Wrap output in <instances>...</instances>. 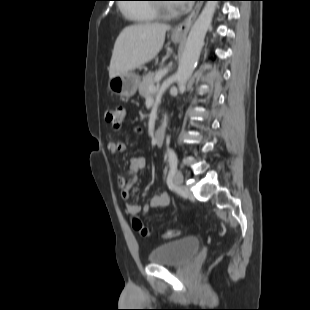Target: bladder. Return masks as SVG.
Here are the masks:
<instances>
[{
	"label": "bladder",
	"instance_id": "31cf9c89",
	"mask_svg": "<svg viewBox=\"0 0 310 310\" xmlns=\"http://www.w3.org/2000/svg\"><path fill=\"white\" fill-rule=\"evenodd\" d=\"M200 242L194 237L163 243L154 248L148 256L152 264L180 266L189 262L199 251Z\"/></svg>",
	"mask_w": 310,
	"mask_h": 310
}]
</instances>
